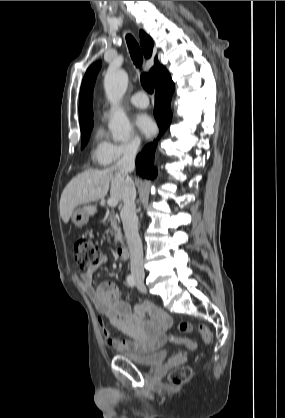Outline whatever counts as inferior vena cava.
Wrapping results in <instances>:
<instances>
[{
	"mask_svg": "<svg viewBox=\"0 0 285 418\" xmlns=\"http://www.w3.org/2000/svg\"><path fill=\"white\" fill-rule=\"evenodd\" d=\"M138 145L130 144L124 151L123 157L114 166L117 173L124 177L123 208L121 219L130 252L132 275L144 276L142 242L138 233V217L136 215V188L129 173L135 168V157Z\"/></svg>",
	"mask_w": 285,
	"mask_h": 418,
	"instance_id": "1",
	"label": "inferior vena cava"
}]
</instances>
